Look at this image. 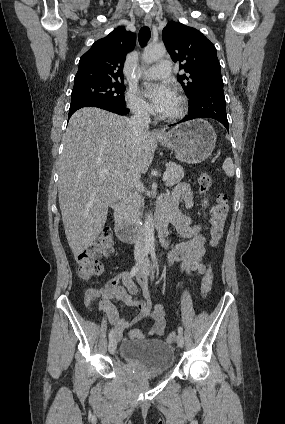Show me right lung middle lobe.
<instances>
[{"label": "right lung middle lobe", "mask_w": 285, "mask_h": 424, "mask_svg": "<svg viewBox=\"0 0 285 424\" xmlns=\"http://www.w3.org/2000/svg\"><path fill=\"white\" fill-rule=\"evenodd\" d=\"M125 86L120 81H90L74 84L72 99L91 97L125 105Z\"/></svg>", "instance_id": "dd1d6c3e"}]
</instances>
